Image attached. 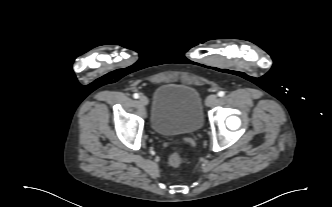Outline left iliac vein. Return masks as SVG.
<instances>
[{"instance_id": "1", "label": "left iliac vein", "mask_w": 332, "mask_h": 207, "mask_svg": "<svg viewBox=\"0 0 332 207\" xmlns=\"http://www.w3.org/2000/svg\"><path fill=\"white\" fill-rule=\"evenodd\" d=\"M218 101V96L215 94L209 95L206 99V105L211 107L215 105Z\"/></svg>"}]
</instances>
